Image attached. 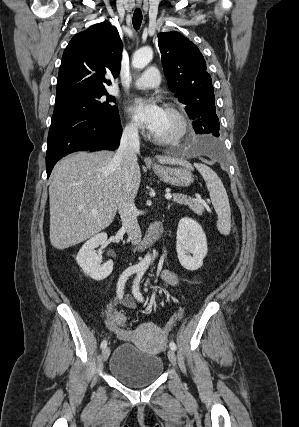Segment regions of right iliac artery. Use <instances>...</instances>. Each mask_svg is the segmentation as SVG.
<instances>
[{
	"label": "right iliac artery",
	"instance_id": "82829eb1",
	"mask_svg": "<svg viewBox=\"0 0 299 427\" xmlns=\"http://www.w3.org/2000/svg\"><path fill=\"white\" fill-rule=\"evenodd\" d=\"M139 271V268L138 267H136V266H131V267H128L122 274H121V276H120V278H119V280H118V283H117V289H116V293H117V297L119 298V299H121L122 298V296H123V293H124V286H125V283H126V281H127V279L132 275V274H134V273H136V272H138ZM107 346V341L106 340H103L102 342H101V348H105Z\"/></svg>",
	"mask_w": 299,
	"mask_h": 427
}]
</instances>
